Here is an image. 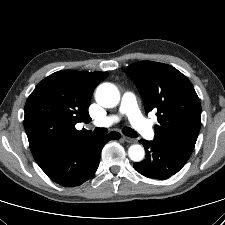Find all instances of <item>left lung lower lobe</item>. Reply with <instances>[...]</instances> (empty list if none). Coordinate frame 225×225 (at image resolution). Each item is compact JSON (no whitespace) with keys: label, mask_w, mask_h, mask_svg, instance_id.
I'll return each instance as SVG.
<instances>
[{"label":"left lung lower lobe","mask_w":225,"mask_h":225,"mask_svg":"<svg viewBox=\"0 0 225 225\" xmlns=\"http://www.w3.org/2000/svg\"><path fill=\"white\" fill-rule=\"evenodd\" d=\"M146 158L134 164V169L148 178L167 179L176 174L185 165L190 155L171 146L156 141L141 139Z\"/></svg>","instance_id":"1"}]
</instances>
